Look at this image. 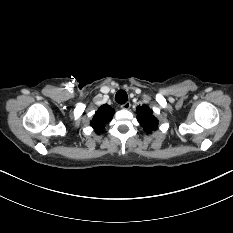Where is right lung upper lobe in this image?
Instances as JSON below:
<instances>
[{
	"label": "right lung upper lobe",
	"mask_w": 233,
	"mask_h": 233,
	"mask_svg": "<svg viewBox=\"0 0 233 233\" xmlns=\"http://www.w3.org/2000/svg\"><path fill=\"white\" fill-rule=\"evenodd\" d=\"M114 115V109L105 104L102 105L95 113L90 125L96 132H102L105 125L112 119Z\"/></svg>",
	"instance_id": "1"
}]
</instances>
